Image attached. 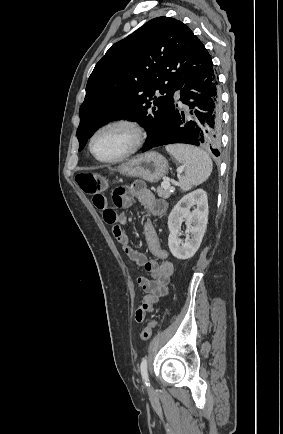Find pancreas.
Returning a JSON list of instances; mask_svg holds the SVG:
<instances>
[{"instance_id": "pancreas-1", "label": "pancreas", "mask_w": 283, "mask_h": 434, "mask_svg": "<svg viewBox=\"0 0 283 434\" xmlns=\"http://www.w3.org/2000/svg\"><path fill=\"white\" fill-rule=\"evenodd\" d=\"M172 190H173V188H171V187L164 188L161 185V186L157 187L156 192H157V194H158L159 197L167 199V198L170 197Z\"/></svg>"}]
</instances>
